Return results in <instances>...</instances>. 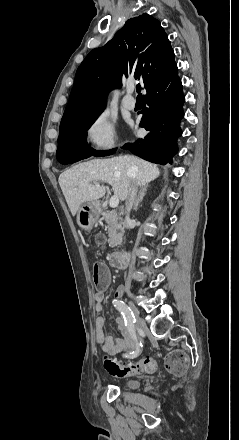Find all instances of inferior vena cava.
Listing matches in <instances>:
<instances>
[{
	"label": "inferior vena cava",
	"instance_id": "inferior-vena-cava-1",
	"mask_svg": "<svg viewBox=\"0 0 239 440\" xmlns=\"http://www.w3.org/2000/svg\"><path fill=\"white\" fill-rule=\"evenodd\" d=\"M136 194H137V184L136 182H132V184H130L129 188H128V196L126 198V202H125V210H126V218H125V228H128L129 226V222H130V218H129V214L132 210V206L134 204V200L136 198Z\"/></svg>",
	"mask_w": 239,
	"mask_h": 440
}]
</instances>
